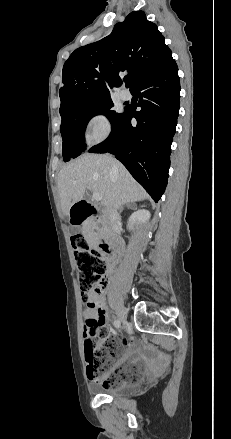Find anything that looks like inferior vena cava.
I'll list each match as a JSON object with an SVG mask.
<instances>
[{
    "mask_svg": "<svg viewBox=\"0 0 231 439\" xmlns=\"http://www.w3.org/2000/svg\"><path fill=\"white\" fill-rule=\"evenodd\" d=\"M105 214L107 218L110 220V224L112 228H114V220L118 217L116 209L114 207L106 208Z\"/></svg>",
    "mask_w": 231,
    "mask_h": 439,
    "instance_id": "obj_1",
    "label": "inferior vena cava"
}]
</instances>
